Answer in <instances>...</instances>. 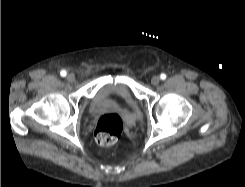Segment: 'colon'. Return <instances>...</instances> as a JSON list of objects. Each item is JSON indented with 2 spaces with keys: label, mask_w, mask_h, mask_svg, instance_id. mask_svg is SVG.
Here are the masks:
<instances>
[{
  "label": "colon",
  "mask_w": 245,
  "mask_h": 187,
  "mask_svg": "<svg viewBox=\"0 0 245 187\" xmlns=\"http://www.w3.org/2000/svg\"><path fill=\"white\" fill-rule=\"evenodd\" d=\"M123 123L115 113L101 115L95 124L94 136L101 146L114 144L122 134Z\"/></svg>",
  "instance_id": "obj_1"
}]
</instances>
